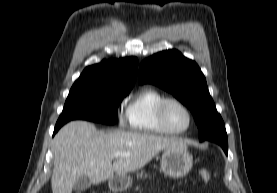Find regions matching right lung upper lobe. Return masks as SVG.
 <instances>
[{
    "instance_id": "obj_1",
    "label": "right lung upper lobe",
    "mask_w": 277,
    "mask_h": 193,
    "mask_svg": "<svg viewBox=\"0 0 277 193\" xmlns=\"http://www.w3.org/2000/svg\"><path fill=\"white\" fill-rule=\"evenodd\" d=\"M138 60L128 57L103 60L84 69L71 89L94 91H130L137 77Z\"/></svg>"
}]
</instances>
